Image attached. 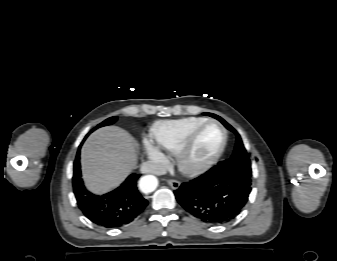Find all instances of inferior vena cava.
<instances>
[{"instance_id":"inferior-vena-cava-1","label":"inferior vena cava","mask_w":337,"mask_h":261,"mask_svg":"<svg viewBox=\"0 0 337 261\" xmlns=\"http://www.w3.org/2000/svg\"><path fill=\"white\" fill-rule=\"evenodd\" d=\"M141 172L142 173H151L155 175H163L166 173L165 168L153 161H147L141 164Z\"/></svg>"}]
</instances>
